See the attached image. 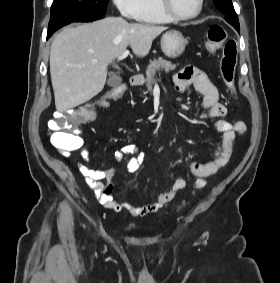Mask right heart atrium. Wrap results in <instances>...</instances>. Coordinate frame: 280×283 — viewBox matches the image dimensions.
Here are the masks:
<instances>
[{
	"instance_id": "right-heart-atrium-1",
	"label": "right heart atrium",
	"mask_w": 280,
	"mask_h": 283,
	"mask_svg": "<svg viewBox=\"0 0 280 283\" xmlns=\"http://www.w3.org/2000/svg\"><path fill=\"white\" fill-rule=\"evenodd\" d=\"M113 2L126 19H136L141 9V0H113Z\"/></svg>"
}]
</instances>
